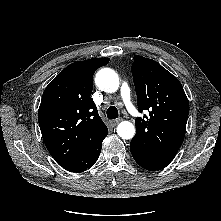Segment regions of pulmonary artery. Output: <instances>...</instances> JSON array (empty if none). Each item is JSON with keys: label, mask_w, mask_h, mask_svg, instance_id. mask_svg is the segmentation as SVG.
Here are the masks:
<instances>
[{"label": "pulmonary artery", "mask_w": 221, "mask_h": 221, "mask_svg": "<svg viewBox=\"0 0 221 221\" xmlns=\"http://www.w3.org/2000/svg\"><path fill=\"white\" fill-rule=\"evenodd\" d=\"M120 94H121L122 100H123L127 110L130 112V114L133 116H137V111L131 102L130 88L126 82H122V84L120 86Z\"/></svg>", "instance_id": "pulmonary-artery-1"}]
</instances>
